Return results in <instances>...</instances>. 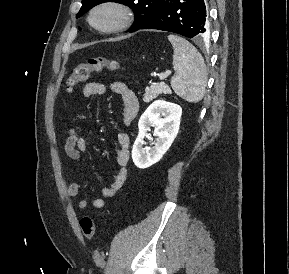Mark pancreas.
Segmentation results:
<instances>
[{
  "mask_svg": "<svg viewBox=\"0 0 289 274\" xmlns=\"http://www.w3.org/2000/svg\"><path fill=\"white\" fill-rule=\"evenodd\" d=\"M160 94H171V89L165 83H154L145 89L143 101L148 103L158 97Z\"/></svg>",
  "mask_w": 289,
  "mask_h": 274,
  "instance_id": "pancreas-1",
  "label": "pancreas"
}]
</instances>
